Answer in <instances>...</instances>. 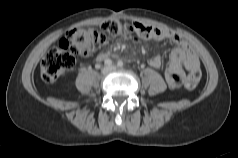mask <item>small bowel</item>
Instances as JSON below:
<instances>
[{
  "label": "small bowel",
  "mask_w": 238,
  "mask_h": 158,
  "mask_svg": "<svg viewBox=\"0 0 238 158\" xmlns=\"http://www.w3.org/2000/svg\"><path fill=\"white\" fill-rule=\"evenodd\" d=\"M136 24L138 32L135 39L168 40L177 46L170 53L165 69V79L169 86L178 87L182 83L186 72L199 69L200 62L197 54L191 45L179 35L165 28ZM162 64L161 56H154L149 60V65L156 69H159Z\"/></svg>",
  "instance_id": "small-bowel-1"
}]
</instances>
